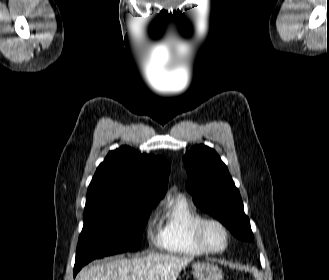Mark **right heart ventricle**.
<instances>
[{
	"instance_id": "right-heart-ventricle-1",
	"label": "right heart ventricle",
	"mask_w": 329,
	"mask_h": 280,
	"mask_svg": "<svg viewBox=\"0 0 329 280\" xmlns=\"http://www.w3.org/2000/svg\"><path fill=\"white\" fill-rule=\"evenodd\" d=\"M203 214L184 195L171 198L165 206L158 244L169 254L198 257L205 255L194 240V227Z\"/></svg>"
}]
</instances>
